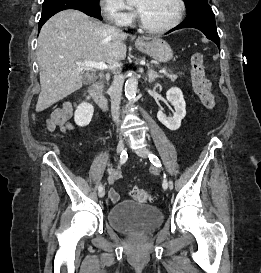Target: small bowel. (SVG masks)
Listing matches in <instances>:
<instances>
[{
	"label": "small bowel",
	"mask_w": 261,
	"mask_h": 273,
	"mask_svg": "<svg viewBox=\"0 0 261 273\" xmlns=\"http://www.w3.org/2000/svg\"><path fill=\"white\" fill-rule=\"evenodd\" d=\"M74 106V104L68 102L62 107L56 108L46 120L47 129L51 132L55 131L57 127H60L64 132L74 129V125L70 122ZM152 172L156 173L155 170H152ZM119 177V172H115L111 176L112 179ZM108 195L113 203L118 202L119 196L115 190L110 189Z\"/></svg>",
	"instance_id": "c3829d8e"
}]
</instances>
